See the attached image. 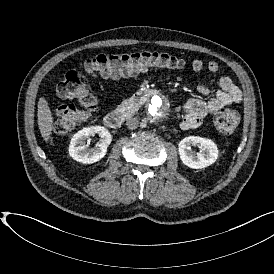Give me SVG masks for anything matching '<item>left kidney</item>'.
<instances>
[{
	"label": "left kidney",
	"mask_w": 274,
	"mask_h": 274,
	"mask_svg": "<svg viewBox=\"0 0 274 274\" xmlns=\"http://www.w3.org/2000/svg\"><path fill=\"white\" fill-rule=\"evenodd\" d=\"M192 146H197L200 152L194 153ZM180 159L186 166L193 169L205 168L214 163L218 158L217 145L210 139L199 136H188L178 145Z\"/></svg>",
	"instance_id": "obj_1"
}]
</instances>
